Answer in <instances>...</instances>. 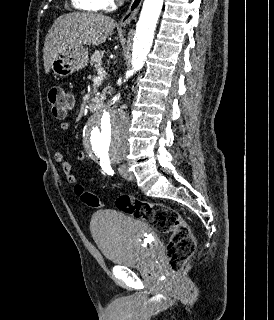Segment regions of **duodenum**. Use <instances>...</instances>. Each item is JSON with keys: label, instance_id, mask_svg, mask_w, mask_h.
Segmentation results:
<instances>
[{"label": "duodenum", "instance_id": "duodenum-1", "mask_svg": "<svg viewBox=\"0 0 274 320\" xmlns=\"http://www.w3.org/2000/svg\"><path fill=\"white\" fill-rule=\"evenodd\" d=\"M89 106L92 110H100L102 108V100L98 97L91 99Z\"/></svg>", "mask_w": 274, "mask_h": 320}]
</instances>
